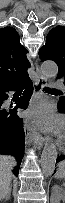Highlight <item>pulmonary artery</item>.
<instances>
[{
  "label": "pulmonary artery",
  "instance_id": "1",
  "mask_svg": "<svg viewBox=\"0 0 65 203\" xmlns=\"http://www.w3.org/2000/svg\"><path fill=\"white\" fill-rule=\"evenodd\" d=\"M52 87H53V88H61V87H62V84H61V83H58V82H54V83L52 84Z\"/></svg>",
  "mask_w": 65,
  "mask_h": 203
}]
</instances>
